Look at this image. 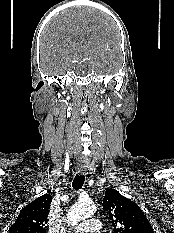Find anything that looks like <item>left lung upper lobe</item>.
Returning a JSON list of instances; mask_svg holds the SVG:
<instances>
[{"mask_svg": "<svg viewBox=\"0 0 174 233\" xmlns=\"http://www.w3.org/2000/svg\"><path fill=\"white\" fill-rule=\"evenodd\" d=\"M113 233H154L140 207L115 189H107L103 199Z\"/></svg>", "mask_w": 174, "mask_h": 233, "instance_id": "obj_1", "label": "left lung upper lobe"}]
</instances>
